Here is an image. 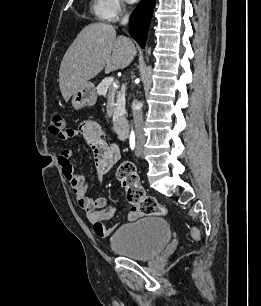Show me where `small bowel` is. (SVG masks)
Listing matches in <instances>:
<instances>
[{"mask_svg": "<svg viewBox=\"0 0 261 306\" xmlns=\"http://www.w3.org/2000/svg\"><path fill=\"white\" fill-rule=\"evenodd\" d=\"M81 136L83 141L91 148L94 156L95 174L97 177L108 173L119 159L120 151L116 145H111L104 139L101 126L95 121H85L79 130L69 129L65 139ZM73 152L66 149L58 156L61 172L68 181L70 189L78 206L85 211L86 217L93 225L94 232L101 238L108 237L116 228L108 227L105 221L110 220L116 208L104 197L92 198L87 195L88 181L86 177L77 172L72 163ZM139 212L132 208L128 219H137Z\"/></svg>", "mask_w": 261, "mask_h": 306, "instance_id": "1", "label": "small bowel"}]
</instances>
